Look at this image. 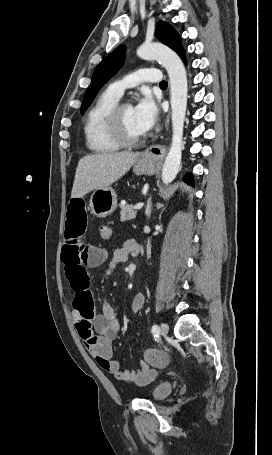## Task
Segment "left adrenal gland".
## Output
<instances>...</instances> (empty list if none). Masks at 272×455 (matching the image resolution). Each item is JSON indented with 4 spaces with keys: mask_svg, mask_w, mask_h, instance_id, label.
Here are the masks:
<instances>
[{
    "mask_svg": "<svg viewBox=\"0 0 272 455\" xmlns=\"http://www.w3.org/2000/svg\"><path fill=\"white\" fill-rule=\"evenodd\" d=\"M151 200L148 201L147 203V206H146V215H147V218H150V215H151Z\"/></svg>",
    "mask_w": 272,
    "mask_h": 455,
    "instance_id": "obj_1",
    "label": "left adrenal gland"
}]
</instances>
